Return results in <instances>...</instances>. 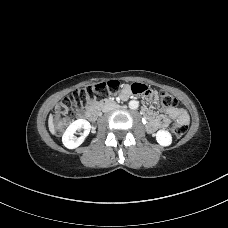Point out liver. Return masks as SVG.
I'll return each mask as SVG.
<instances>
[{
	"label": "liver",
	"mask_w": 228,
	"mask_h": 228,
	"mask_svg": "<svg viewBox=\"0 0 228 228\" xmlns=\"http://www.w3.org/2000/svg\"><path fill=\"white\" fill-rule=\"evenodd\" d=\"M48 127H49L50 132L52 134H54L55 133V127H54V124H53V116L52 115L49 116Z\"/></svg>",
	"instance_id": "liver-1"
}]
</instances>
